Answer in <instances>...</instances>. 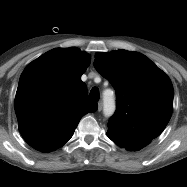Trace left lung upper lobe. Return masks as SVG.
Here are the masks:
<instances>
[{"instance_id": "left-lung-upper-lobe-1", "label": "left lung upper lobe", "mask_w": 187, "mask_h": 187, "mask_svg": "<svg viewBox=\"0 0 187 187\" xmlns=\"http://www.w3.org/2000/svg\"><path fill=\"white\" fill-rule=\"evenodd\" d=\"M94 67L116 91L117 109L108 123V137L123 139L121 146L129 150L142 149L170 120L171 80L149 58L126 50L97 52Z\"/></svg>"}]
</instances>
